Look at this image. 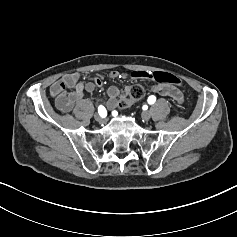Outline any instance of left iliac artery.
Instances as JSON below:
<instances>
[{"mask_svg":"<svg viewBox=\"0 0 237 237\" xmlns=\"http://www.w3.org/2000/svg\"><path fill=\"white\" fill-rule=\"evenodd\" d=\"M147 101H148L149 104H154L155 101H156V97L151 95V96H149Z\"/></svg>","mask_w":237,"mask_h":237,"instance_id":"44dca946","label":"left iliac artery"}]
</instances>
